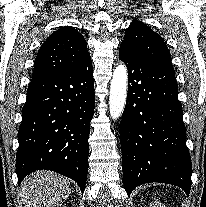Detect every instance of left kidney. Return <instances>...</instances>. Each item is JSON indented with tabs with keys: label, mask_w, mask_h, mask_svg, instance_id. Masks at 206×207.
Here are the masks:
<instances>
[{
	"label": "left kidney",
	"mask_w": 206,
	"mask_h": 207,
	"mask_svg": "<svg viewBox=\"0 0 206 207\" xmlns=\"http://www.w3.org/2000/svg\"><path fill=\"white\" fill-rule=\"evenodd\" d=\"M150 207H165V206L159 203L158 201H155L151 203Z\"/></svg>",
	"instance_id": "5707ae66"
}]
</instances>
